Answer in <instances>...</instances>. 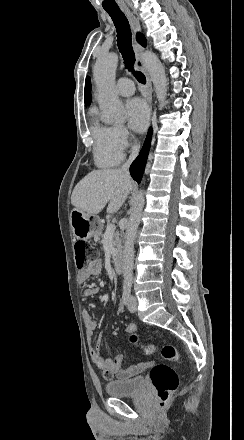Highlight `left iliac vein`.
Here are the masks:
<instances>
[{
    "label": "left iliac vein",
    "instance_id": "1",
    "mask_svg": "<svg viewBox=\"0 0 244 440\" xmlns=\"http://www.w3.org/2000/svg\"><path fill=\"white\" fill-rule=\"evenodd\" d=\"M128 310L130 312H135L137 310V299L134 296H131L128 302Z\"/></svg>",
    "mask_w": 244,
    "mask_h": 440
}]
</instances>
